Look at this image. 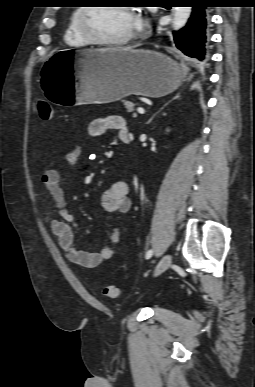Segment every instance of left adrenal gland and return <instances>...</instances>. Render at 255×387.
I'll return each mask as SVG.
<instances>
[{"mask_svg": "<svg viewBox=\"0 0 255 387\" xmlns=\"http://www.w3.org/2000/svg\"><path fill=\"white\" fill-rule=\"evenodd\" d=\"M178 96H175L173 98V100L177 99ZM171 101H169L168 103H166L165 105H163V107H161L156 113H154L151 118L146 122V124H150L152 122V120L154 119V117L160 112L162 111Z\"/></svg>", "mask_w": 255, "mask_h": 387, "instance_id": "obj_1", "label": "left adrenal gland"}]
</instances>
